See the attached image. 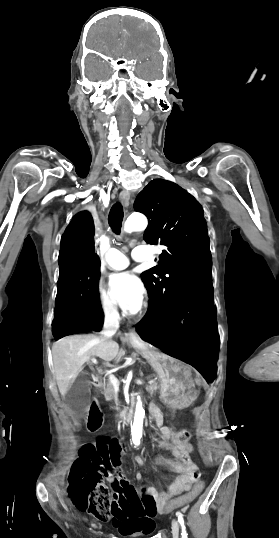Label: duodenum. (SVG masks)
Here are the masks:
<instances>
[{
    "instance_id": "duodenum-1",
    "label": "duodenum",
    "mask_w": 279,
    "mask_h": 538,
    "mask_svg": "<svg viewBox=\"0 0 279 538\" xmlns=\"http://www.w3.org/2000/svg\"><path fill=\"white\" fill-rule=\"evenodd\" d=\"M90 376V381L95 388H98L100 385H103L105 378L99 367H92L90 370ZM133 406H135V401L133 400L128 401V404H123V409H120V414L114 413V418L120 417L121 419H119V422L129 423V414H132V409L130 408ZM149 413H151L152 415H159L161 413V410L159 409V406L157 404H154L152 406V409L149 410Z\"/></svg>"
}]
</instances>
